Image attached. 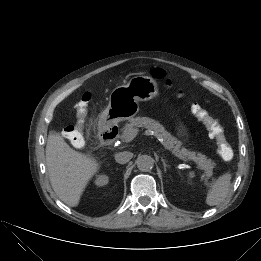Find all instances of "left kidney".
<instances>
[{
    "mask_svg": "<svg viewBox=\"0 0 261 261\" xmlns=\"http://www.w3.org/2000/svg\"><path fill=\"white\" fill-rule=\"evenodd\" d=\"M189 177H190V178H193V177H194V173H193V172H190V173H189Z\"/></svg>",
    "mask_w": 261,
    "mask_h": 261,
    "instance_id": "1",
    "label": "left kidney"
}]
</instances>
